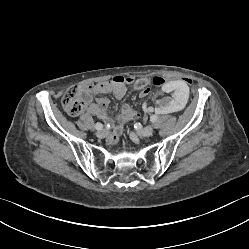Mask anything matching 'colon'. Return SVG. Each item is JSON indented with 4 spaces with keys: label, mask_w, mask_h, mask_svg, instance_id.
<instances>
[{
    "label": "colon",
    "mask_w": 249,
    "mask_h": 249,
    "mask_svg": "<svg viewBox=\"0 0 249 249\" xmlns=\"http://www.w3.org/2000/svg\"><path fill=\"white\" fill-rule=\"evenodd\" d=\"M151 82L155 86H160L165 83V79L162 77H154ZM148 93L149 89H145L141 94L142 96H146ZM61 103L67 113L70 115H78L86 107V97L79 88L72 87L64 92Z\"/></svg>",
    "instance_id": "colon-1"
}]
</instances>
